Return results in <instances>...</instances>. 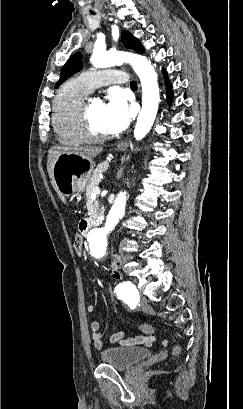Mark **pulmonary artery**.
<instances>
[{
	"instance_id": "1",
	"label": "pulmonary artery",
	"mask_w": 243,
	"mask_h": 409,
	"mask_svg": "<svg viewBox=\"0 0 243 409\" xmlns=\"http://www.w3.org/2000/svg\"><path fill=\"white\" fill-rule=\"evenodd\" d=\"M79 77L90 90H94L100 86L124 84L127 82L126 75L122 71L111 69L86 71L81 73Z\"/></svg>"
}]
</instances>
